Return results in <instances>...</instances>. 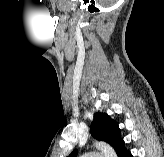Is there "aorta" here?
Masks as SVG:
<instances>
[{
  "label": "aorta",
  "mask_w": 164,
  "mask_h": 157,
  "mask_svg": "<svg viewBox=\"0 0 164 157\" xmlns=\"http://www.w3.org/2000/svg\"><path fill=\"white\" fill-rule=\"evenodd\" d=\"M94 147L100 150L104 157H116L115 150L106 142L97 141L94 143Z\"/></svg>",
  "instance_id": "obj_1"
}]
</instances>
